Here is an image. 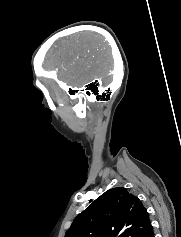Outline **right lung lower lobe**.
Masks as SVG:
<instances>
[{"instance_id":"obj_1","label":"right lung lower lobe","mask_w":181,"mask_h":237,"mask_svg":"<svg viewBox=\"0 0 181 237\" xmlns=\"http://www.w3.org/2000/svg\"><path fill=\"white\" fill-rule=\"evenodd\" d=\"M151 237H154V233L151 235Z\"/></svg>"}]
</instances>
